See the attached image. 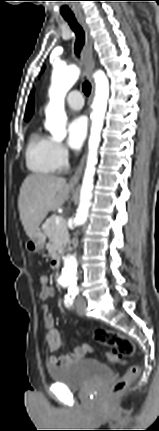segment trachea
<instances>
[{
    "mask_svg": "<svg viewBox=\"0 0 159 431\" xmlns=\"http://www.w3.org/2000/svg\"><path fill=\"white\" fill-rule=\"evenodd\" d=\"M65 20L68 22L71 29L75 32L76 42H75L74 50H75V54L79 55L84 45L85 34L74 17H65ZM83 92L86 96H89L91 92V85L87 80L83 83Z\"/></svg>",
    "mask_w": 159,
    "mask_h": 431,
    "instance_id": "1",
    "label": "trachea"
}]
</instances>
